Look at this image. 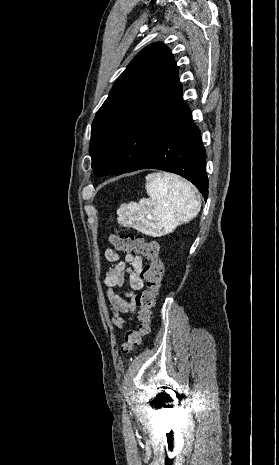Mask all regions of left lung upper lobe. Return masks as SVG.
<instances>
[{"mask_svg":"<svg viewBox=\"0 0 279 465\" xmlns=\"http://www.w3.org/2000/svg\"><path fill=\"white\" fill-rule=\"evenodd\" d=\"M187 108L171 51L161 42L148 45L118 77L94 118L89 147L94 174L130 172Z\"/></svg>","mask_w":279,"mask_h":465,"instance_id":"obj_1","label":"left lung upper lobe"}]
</instances>
